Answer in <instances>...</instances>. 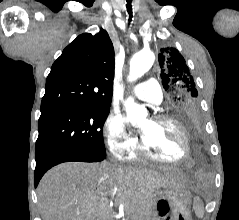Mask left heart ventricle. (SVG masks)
I'll list each match as a JSON object with an SVG mask.
<instances>
[{
    "instance_id": "b2bd125f",
    "label": "left heart ventricle",
    "mask_w": 239,
    "mask_h": 220,
    "mask_svg": "<svg viewBox=\"0 0 239 220\" xmlns=\"http://www.w3.org/2000/svg\"><path fill=\"white\" fill-rule=\"evenodd\" d=\"M140 129L145 144L154 154L170 160L183 155V137L175 125L144 119L140 123Z\"/></svg>"
}]
</instances>
